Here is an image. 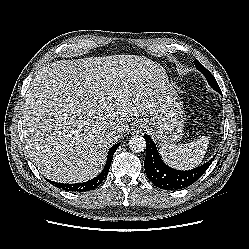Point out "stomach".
<instances>
[{
    "mask_svg": "<svg viewBox=\"0 0 249 249\" xmlns=\"http://www.w3.org/2000/svg\"><path fill=\"white\" fill-rule=\"evenodd\" d=\"M161 98L160 108L148 123L152 125L153 136L160 145L171 144L183 136L184 108L176 90L168 82Z\"/></svg>",
    "mask_w": 249,
    "mask_h": 249,
    "instance_id": "stomach-1",
    "label": "stomach"
}]
</instances>
